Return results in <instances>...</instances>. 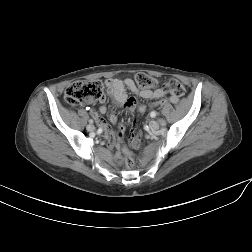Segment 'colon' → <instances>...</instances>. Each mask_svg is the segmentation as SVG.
Instances as JSON below:
<instances>
[{
    "label": "colon",
    "mask_w": 252,
    "mask_h": 252,
    "mask_svg": "<svg viewBox=\"0 0 252 252\" xmlns=\"http://www.w3.org/2000/svg\"><path fill=\"white\" fill-rule=\"evenodd\" d=\"M135 83L141 89L152 88L156 85L154 77L146 73H138L135 75ZM164 91L169 94L181 97L185 94L184 85L176 80L170 79L163 85ZM104 98L103 85L100 81L92 82H77L71 85L65 93V99L67 103L71 105H78L92 100H101ZM160 103H152V106L160 105ZM141 135L136 131V121L133 122V126L130 132V144L133 147H138L140 144ZM125 163L126 166L131 168L134 164L133 156L130 151L125 150Z\"/></svg>",
    "instance_id": "colon-1"
}]
</instances>
